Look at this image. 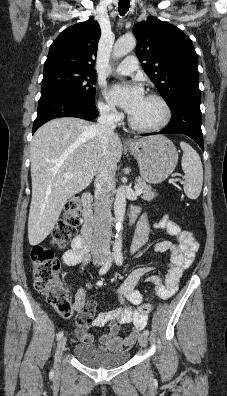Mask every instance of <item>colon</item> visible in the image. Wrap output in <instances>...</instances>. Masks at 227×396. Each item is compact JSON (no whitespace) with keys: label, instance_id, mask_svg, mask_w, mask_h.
<instances>
[{"label":"colon","instance_id":"obj_1","mask_svg":"<svg viewBox=\"0 0 227 396\" xmlns=\"http://www.w3.org/2000/svg\"><path fill=\"white\" fill-rule=\"evenodd\" d=\"M81 205L82 199L79 195L72 196L66 202L63 217L52 234V242L58 247H64L75 235L80 223ZM30 259L35 289L45 296L47 302L60 315L71 316L73 309L69 294L59 277L60 262L53 251L43 244H37L30 252ZM138 310L147 314L152 310V306L143 303L138 306Z\"/></svg>","mask_w":227,"mask_h":396}]
</instances>
